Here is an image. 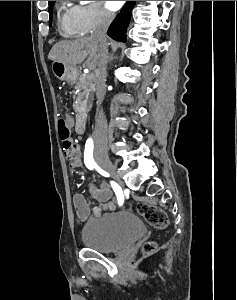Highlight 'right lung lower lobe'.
<instances>
[{"label":"right lung lower lobe","instance_id":"obj_1","mask_svg":"<svg viewBox=\"0 0 237 300\" xmlns=\"http://www.w3.org/2000/svg\"><path fill=\"white\" fill-rule=\"evenodd\" d=\"M134 5V1H127V3L124 5L121 12L118 14L107 31V34L110 37L118 41H126V31Z\"/></svg>","mask_w":237,"mask_h":300}]
</instances>
